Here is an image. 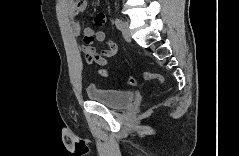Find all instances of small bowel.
Returning <instances> with one entry per match:
<instances>
[{
    "label": "small bowel",
    "mask_w": 239,
    "mask_h": 156,
    "mask_svg": "<svg viewBox=\"0 0 239 156\" xmlns=\"http://www.w3.org/2000/svg\"><path fill=\"white\" fill-rule=\"evenodd\" d=\"M67 11L70 25L74 36L78 37L83 34V44L81 50L89 63H97L99 65H106L107 59L115 56L118 52L117 44L111 40L106 39V34L101 29H96L92 26L81 27L79 22V15L86 11L88 3L86 0H66L63 2ZM104 14H99L94 19L96 26H103L105 24ZM106 41L107 47L97 51L93 43Z\"/></svg>",
    "instance_id": "c3829d8e"
}]
</instances>
